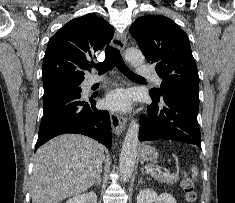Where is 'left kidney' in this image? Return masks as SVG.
Wrapping results in <instances>:
<instances>
[{"label": "left kidney", "instance_id": "obj_1", "mask_svg": "<svg viewBox=\"0 0 235 203\" xmlns=\"http://www.w3.org/2000/svg\"><path fill=\"white\" fill-rule=\"evenodd\" d=\"M177 203L175 198L168 193L158 195L154 190L145 188L139 191L137 203Z\"/></svg>", "mask_w": 235, "mask_h": 203}]
</instances>
